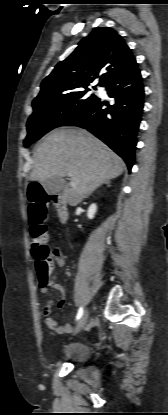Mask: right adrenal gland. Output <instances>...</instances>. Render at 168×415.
Masks as SVG:
<instances>
[{"mask_svg": "<svg viewBox=\"0 0 168 415\" xmlns=\"http://www.w3.org/2000/svg\"><path fill=\"white\" fill-rule=\"evenodd\" d=\"M105 184H107V185H108V184H109V182H105Z\"/></svg>", "mask_w": 168, "mask_h": 415, "instance_id": "obj_1", "label": "right adrenal gland"}]
</instances>
